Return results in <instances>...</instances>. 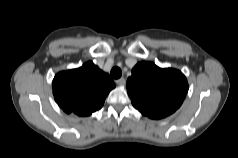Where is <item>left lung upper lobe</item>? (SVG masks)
Returning a JSON list of instances; mask_svg holds the SVG:
<instances>
[{
	"label": "left lung upper lobe",
	"instance_id": "left-lung-upper-lobe-1",
	"mask_svg": "<svg viewBox=\"0 0 238 158\" xmlns=\"http://www.w3.org/2000/svg\"><path fill=\"white\" fill-rule=\"evenodd\" d=\"M133 106L152 119L165 118L182 104L187 91L186 77L179 70L160 68L152 62H140L127 80Z\"/></svg>",
	"mask_w": 238,
	"mask_h": 158
}]
</instances>
